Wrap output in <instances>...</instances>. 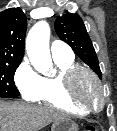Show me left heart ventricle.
<instances>
[{
  "label": "left heart ventricle",
  "instance_id": "b2bd125f",
  "mask_svg": "<svg viewBox=\"0 0 117 131\" xmlns=\"http://www.w3.org/2000/svg\"><path fill=\"white\" fill-rule=\"evenodd\" d=\"M81 94L92 102H97L99 99V91L95 83L90 78H85L80 86Z\"/></svg>",
  "mask_w": 117,
  "mask_h": 131
}]
</instances>
